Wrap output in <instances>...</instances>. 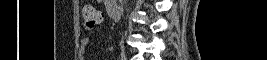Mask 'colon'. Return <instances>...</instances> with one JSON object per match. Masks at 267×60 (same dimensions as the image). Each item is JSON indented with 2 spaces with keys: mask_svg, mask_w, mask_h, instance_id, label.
<instances>
[{
  "mask_svg": "<svg viewBox=\"0 0 267 60\" xmlns=\"http://www.w3.org/2000/svg\"><path fill=\"white\" fill-rule=\"evenodd\" d=\"M83 26L86 30H91L98 26L102 20L101 11L92 5H87L83 8Z\"/></svg>",
  "mask_w": 267,
  "mask_h": 60,
  "instance_id": "obj_1",
  "label": "colon"
}]
</instances>
